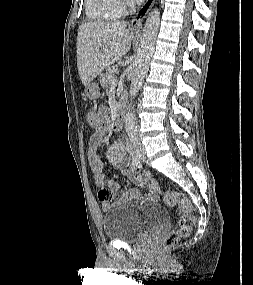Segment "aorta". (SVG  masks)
I'll list each match as a JSON object with an SVG mask.
<instances>
[{
	"instance_id": "1",
	"label": "aorta",
	"mask_w": 253,
	"mask_h": 285,
	"mask_svg": "<svg viewBox=\"0 0 253 285\" xmlns=\"http://www.w3.org/2000/svg\"><path fill=\"white\" fill-rule=\"evenodd\" d=\"M159 25L160 10L155 8L149 13L143 28V34L129 90L131 98H134L137 95L148 71L149 62L155 49ZM125 128L128 134H136L138 131L136 116L130 110L127 111L125 115Z\"/></svg>"
}]
</instances>
